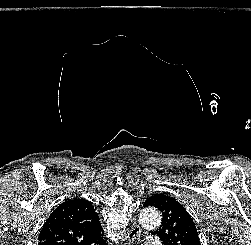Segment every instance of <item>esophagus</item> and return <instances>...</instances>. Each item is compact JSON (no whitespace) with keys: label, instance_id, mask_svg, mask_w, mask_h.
<instances>
[{"label":"esophagus","instance_id":"34e87169","mask_svg":"<svg viewBox=\"0 0 251 245\" xmlns=\"http://www.w3.org/2000/svg\"><path fill=\"white\" fill-rule=\"evenodd\" d=\"M141 234V228L139 225L135 224L128 231V238L124 245H134V242Z\"/></svg>","mask_w":251,"mask_h":245}]
</instances>
